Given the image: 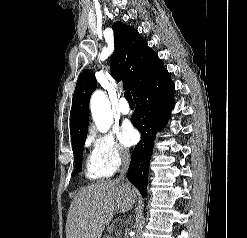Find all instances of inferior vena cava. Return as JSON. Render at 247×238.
Returning <instances> with one entry per match:
<instances>
[{
	"label": "inferior vena cava",
	"mask_w": 247,
	"mask_h": 238,
	"mask_svg": "<svg viewBox=\"0 0 247 238\" xmlns=\"http://www.w3.org/2000/svg\"><path fill=\"white\" fill-rule=\"evenodd\" d=\"M121 158H122V167L120 170V176H119V180L124 179V175L126 174L128 167H129V163H130V154L127 150H121Z\"/></svg>",
	"instance_id": "obj_1"
}]
</instances>
